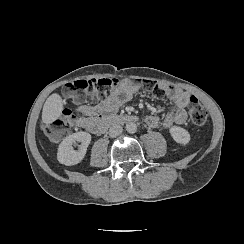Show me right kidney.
<instances>
[{"label": "right kidney", "instance_id": "ca27d5eb", "mask_svg": "<svg viewBox=\"0 0 244 244\" xmlns=\"http://www.w3.org/2000/svg\"><path fill=\"white\" fill-rule=\"evenodd\" d=\"M90 141L91 135L87 132L80 131L69 135L58 147V161L67 166L78 164L84 158ZM76 142L81 143L78 150H74L72 146Z\"/></svg>", "mask_w": 244, "mask_h": 244}]
</instances>
